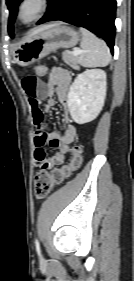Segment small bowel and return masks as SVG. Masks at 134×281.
I'll return each mask as SVG.
<instances>
[{
	"label": "small bowel",
	"instance_id": "small-bowel-1",
	"mask_svg": "<svg viewBox=\"0 0 134 281\" xmlns=\"http://www.w3.org/2000/svg\"><path fill=\"white\" fill-rule=\"evenodd\" d=\"M71 79V74L67 70L53 67L46 82L34 75L25 76L21 80L22 88L29 98L32 119L36 127L35 164L42 170L62 165L69 145L76 136V127L68 115L65 116L66 126L62 134L45 130L44 111L56 104L54 94L62 105L67 106ZM48 147L56 150L51 156H47Z\"/></svg>",
	"mask_w": 134,
	"mask_h": 281
}]
</instances>
